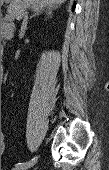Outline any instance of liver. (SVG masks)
<instances>
[{"label": "liver", "instance_id": "1", "mask_svg": "<svg viewBox=\"0 0 109 170\" xmlns=\"http://www.w3.org/2000/svg\"><path fill=\"white\" fill-rule=\"evenodd\" d=\"M7 3L10 2L8 11L14 14L17 20H21L23 13L28 7H31L34 11L43 10L45 8H57L66 0H2Z\"/></svg>", "mask_w": 109, "mask_h": 170}]
</instances>
